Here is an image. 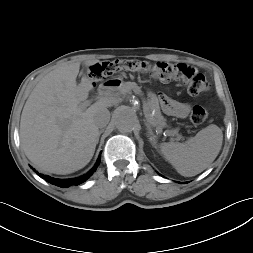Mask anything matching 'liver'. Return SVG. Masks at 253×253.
I'll use <instances>...</instances> for the list:
<instances>
[{
    "label": "liver",
    "instance_id": "1",
    "mask_svg": "<svg viewBox=\"0 0 253 253\" xmlns=\"http://www.w3.org/2000/svg\"><path fill=\"white\" fill-rule=\"evenodd\" d=\"M97 60H87L88 68ZM80 62H67L47 73L30 93L20 121V140L27 158L43 171L69 174L85 167L99 140L94 118L111 106L101 98L87 109L80 103L93 89L83 76L77 85Z\"/></svg>",
    "mask_w": 253,
    "mask_h": 253
}]
</instances>
